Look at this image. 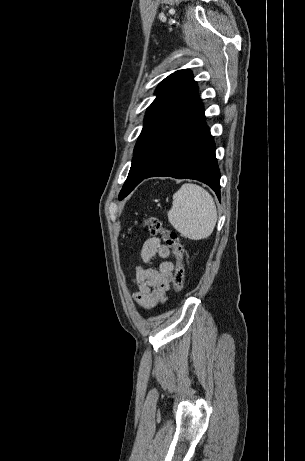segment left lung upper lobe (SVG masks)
I'll return each instance as SVG.
<instances>
[{"label": "left lung upper lobe", "instance_id": "left-lung-upper-lobe-1", "mask_svg": "<svg viewBox=\"0 0 305 461\" xmlns=\"http://www.w3.org/2000/svg\"><path fill=\"white\" fill-rule=\"evenodd\" d=\"M197 87L189 69L178 70L166 77L157 87L156 99L148 107L145 124L134 149V157L119 199L126 197L136 182L147 172L151 163L152 140L159 128L183 104Z\"/></svg>", "mask_w": 305, "mask_h": 461}]
</instances>
